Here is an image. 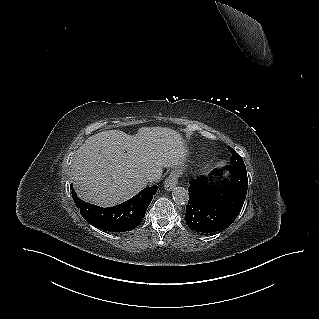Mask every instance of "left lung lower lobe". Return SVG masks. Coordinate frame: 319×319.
<instances>
[{
	"instance_id": "left-lung-lower-lobe-1",
	"label": "left lung lower lobe",
	"mask_w": 319,
	"mask_h": 319,
	"mask_svg": "<svg viewBox=\"0 0 319 319\" xmlns=\"http://www.w3.org/2000/svg\"><path fill=\"white\" fill-rule=\"evenodd\" d=\"M230 180L212 185L213 176L221 175L214 170L209 177H197L190 182L189 201L185 221L196 232L210 233L228 228L239 215L246 198L248 178L245 166L227 165Z\"/></svg>"
}]
</instances>
